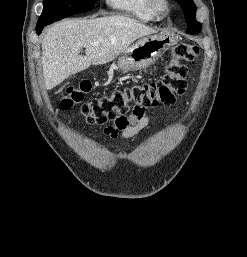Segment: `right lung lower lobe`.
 I'll return each instance as SVG.
<instances>
[{
	"label": "right lung lower lobe",
	"mask_w": 247,
	"mask_h": 257,
	"mask_svg": "<svg viewBox=\"0 0 247 257\" xmlns=\"http://www.w3.org/2000/svg\"><path fill=\"white\" fill-rule=\"evenodd\" d=\"M46 25H48V24L47 23H45V24H37V26H36V33L39 35Z\"/></svg>",
	"instance_id": "obj_1"
}]
</instances>
